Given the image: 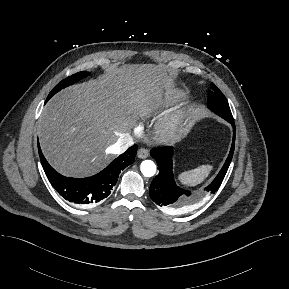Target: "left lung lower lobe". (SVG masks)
I'll return each mask as SVG.
<instances>
[{"label": "left lung lower lobe", "mask_w": 289, "mask_h": 289, "mask_svg": "<svg viewBox=\"0 0 289 289\" xmlns=\"http://www.w3.org/2000/svg\"><path fill=\"white\" fill-rule=\"evenodd\" d=\"M233 127V142L229 155L222 169L211 182L210 185L204 188V192L199 195H191L190 191H186L178 187L174 181L172 173V147H159L151 149V156L156 160L159 174L153 179L149 194L151 199L160 207L168 211H175L185 208L195 202L201 195L215 193L220 187L234 153L235 146V124L233 117L224 118Z\"/></svg>", "instance_id": "1"}]
</instances>
